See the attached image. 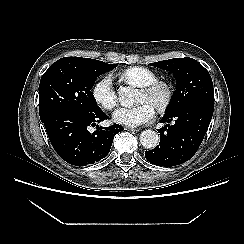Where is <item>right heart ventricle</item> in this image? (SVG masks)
I'll list each match as a JSON object with an SVG mask.
<instances>
[{
  "label": "right heart ventricle",
  "mask_w": 244,
  "mask_h": 244,
  "mask_svg": "<svg viewBox=\"0 0 244 244\" xmlns=\"http://www.w3.org/2000/svg\"><path fill=\"white\" fill-rule=\"evenodd\" d=\"M118 78L124 83L139 88L147 86L158 80V76L154 71L140 66L124 69L118 73Z\"/></svg>",
  "instance_id": "obj_1"
}]
</instances>
